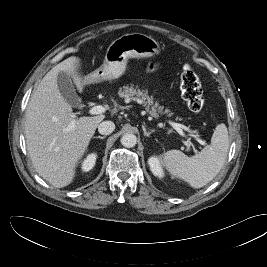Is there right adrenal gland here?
I'll use <instances>...</instances> for the list:
<instances>
[{
  "mask_svg": "<svg viewBox=\"0 0 267 267\" xmlns=\"http://www.w3.org/2000/svg\"><path fill=\"white\" fill-rule=\"evenodd\" d=\"M106 136H96L94 138H97V139H104Z\"/></svg>",
  "mask_w": 267,
  "mask_h": 267,
  "instance_id": "obj_1",
  "label": "right adrenal gland"
}]
</instances>
